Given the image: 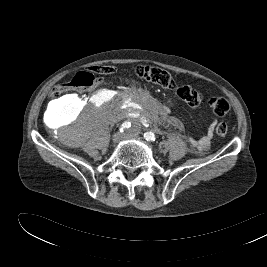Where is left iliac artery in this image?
I'll list each match as a JSON object with an SVG mask.
<instances>
[{
	"label": "left iliac artery",
	"mask_w": 267,
	"mask_h": 267,
	"mask_svg": "<svg viewBox=\"0 0 267 267\" xmlns=\"http://www.w3.org/2000/svg\"><path fill=\"white\" fill-rule=\"evenodd\" d=\"M144 138H145V140L150 141V142H154L156 140V136L152 132L144 133Z\"/></svg>",
	"instance_id": "obj_1"
}]
</instances>
